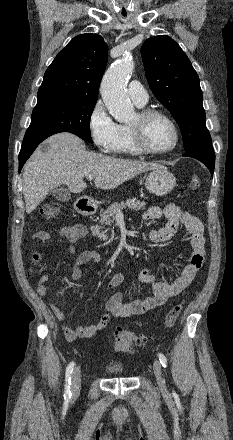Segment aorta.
I'll list each match as a JSON object with an SVG mask.
<instances>
[{
	"label": "aorta",
	"mask_w": 233,
	"mask_h": 440,
	"mask_svg": "<svg viewBox=\"0 0 233 440\" xmlns=\"http://www.w3.org/2000/svg\"><path fill=\"white\" fill-rule=\"evenodd\" d=\"M134 68L132 57L126 54L106 71L101 82L102 99L110 114L118 122H128L134 117V106L130 102L125 86Z\"/></svg>",
	"instance_id": "aorta-1"
}]
</instances>
